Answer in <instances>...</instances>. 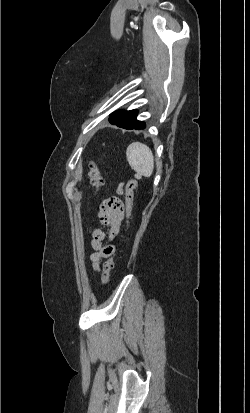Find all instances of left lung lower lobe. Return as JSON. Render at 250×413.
Wrapping results in <instances>:
<instances>
[{
  "label": "left lung lower lobe",
  "mask_w": 250,
  "mask_h": 413,
  "mask_svg": "<svg viewBox=\"0 0 250 413\" xmlns=\"http://www.w3.org/2000/svg\"><path fill=\"white\" fill-rule=\"evenodd\" d=\"M136 111H119L109 117V122L124 129H143L145 124L136 120Z\"/></svg>",
  "instance_id": "obj_1"
}]
</instances>
